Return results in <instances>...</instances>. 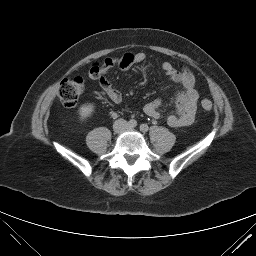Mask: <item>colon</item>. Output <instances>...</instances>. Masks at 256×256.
<instances>
[{
    "label": "colon",
    "instance_id": "5ec220e1",
    "mask_svg": "<svg viewBox=\"0 0 256 256\" xmlns=\"http://www.w3.org/2000/svg\"><path fill=\"white\" fill-rule=\"evenodd\" d=\"M103 72V66L100 64H93L89 69V76L92 79H100ZM84 92V82L80 77L66 78L59 87V98L61 103L66 107H72L77 104L79 98ZM204 111L209 112L212 110V102L204 99L201 102Z\"/></svg>",
    "mask_w": 256,
    "mask_h": 256
}]
</instances>
